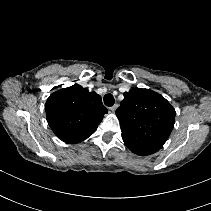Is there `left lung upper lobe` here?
<instances>
[{
    "label": "left lung upper lobe",
    "instance_id": "left-lung-upper-lobe-1",
    "mask_svg": "<svg viewBox=\"0 0 211 211\" xmlns=\"http://www.w3.org/2000/svg\"><path fill=\"white\" fill-rule=\"evenodd\" d=\"M116 110L122 139L135 154L150 155L162 148L175 123V109L150 89L133 88L125 92Z\"/></svg>",
    "mask_w": 211,
    "mask_h": 211
}]
</instances>
